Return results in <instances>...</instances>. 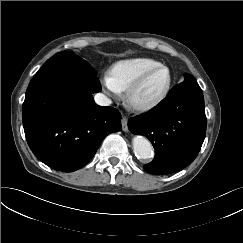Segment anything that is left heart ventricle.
I'll list each match as a JSON object with an SVG mask.
<instances>
[{
  "label": "left heart ventricle",
  "mask_w": 243,
  "mask_h": 243,
  "mask_svg": "<svg viewBox=\"0 0 243 243\" xmlns=\"http://www.w3.org/2000/svg\"><path fill=\"white\" fill-rule=\"evenodd\" d=\"M166 80L167 73L165 70L154 72L137 92L136 98L138 100H146L155 96L162 89Z\"/></svg>",
  "instance_id": "b2bd125f"
}]
</instances>
